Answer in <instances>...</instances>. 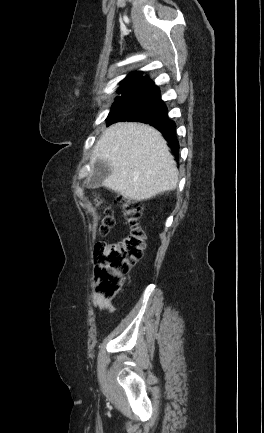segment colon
<instances>
[{
	"label": "colon",
	"mask_w": 264,
	"mask_h": 433,
	"mask_svg": "<svg viewBox=\"0 0 264 433\" xmlns=\"http://www.w3.org/2000/svg\"><path fill=\"white\" fill-rule=\"evenodd\" d=\"M119 204L129 226L128 234L117 242H99L94 249L96 290L108 299L119 293L124 276L142 258L146 247V233L140 224L142 204L127 199H120ZM113 226L111 210L105 208L100 220V233L108 234Z\"/></svg>",
	"instance_id": "obj_1"
}]
</instances>
